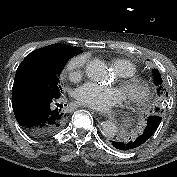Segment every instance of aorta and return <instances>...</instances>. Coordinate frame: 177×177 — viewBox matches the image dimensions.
<instances>
[{
    "label": "aorta",
    "mask_w": 177,
    "mask_h": 177,
    "mask_svg": "<svg viewBox=\"0 0 177 177\" xmlns=\"http://www.w3.org/2000/svg\"><path fill=\"white\" fill-rule=\"evenodd\" d=\"M86 75L93 81H105L109 78L106 64L100 59H92L86 65ZM117 133V126L112 121H105L102 124V134L105 137H114Z\"/></svg>",
    "instance_id": "aorta-1"
}]
</instances>
